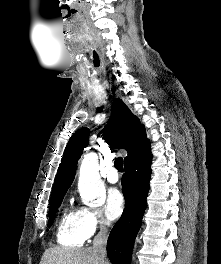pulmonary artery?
Instances as JSON below:
<instances>
[{"label":"pulmonary artery","instance_id":"e3ab8cb5","mask_svg":"<svg viewBox=\"0 0 221 264\" xmlns=\"http://www.w3.org/2000/svg\"><path fill=\"white\" fill-rule=\"evenodd\" d=\"M106 178L110 183H116L119 180V175L114 166H111L106 174Z\"/></svg>","mask_w":221,"mask_h":264}]
</instances>
